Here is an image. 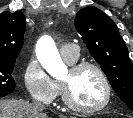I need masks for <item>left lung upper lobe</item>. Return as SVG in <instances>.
Returning <instances> with one entry per match:
<instances>
[{"mask_svg":"<svg viewBox=\"0 0 133 118\" xmlns=\"http://www.w3.org/2000/svg\"><path fill=\"white\" fill-rule=\"evenodd\" d=\"M74 24L117 95L133 110V65L115 23L100 9L87 7Z\"/></svg>","mask_w":133,"mask_h":118,"instance_id":"left-lung-upper-lobe-1","label":"left lung upper lobe"}]
</instances>
